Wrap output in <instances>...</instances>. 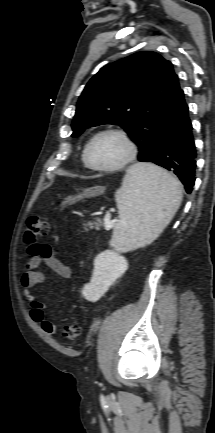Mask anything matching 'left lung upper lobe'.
<instances>
[{
  "label": "left lung upper lobe",
  "mask_w": 215,
  "mask_h": 433,
  "mask_svg": "<svg viewBox=\"0 0 215 433\" xmlns=\"http://www.w3.org/2000/svg\"><path fill=\"white\" fill-rule=\"evenodd\" d=\"M182 90L171 62L152 51L106 65L83 90L73 119L72 137L101 124L120 125L151 162Z\"/></svg>",
  "instance_id": "1"
}]
</instances>
